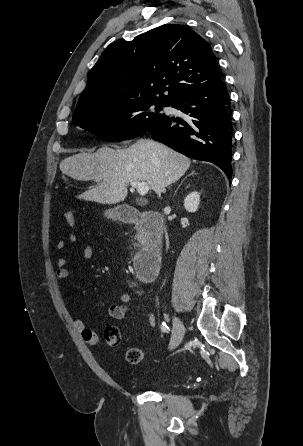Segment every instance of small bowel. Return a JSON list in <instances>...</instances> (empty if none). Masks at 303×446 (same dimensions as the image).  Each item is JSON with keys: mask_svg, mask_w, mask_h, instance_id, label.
Segmentation results:
<instances>
[{"mask_svg": "<svg viewBox=\"0 0 303 446\" xmlns=\"http://www.w3.org/2000/svg\"><path fill=\"white\" fill-rule=\"evenodd\" d=\"M78 240L77 235L74 232H70L67 235V240H61L57 243L58 250H66L70 244H75ZM93 256V247L90 244L84 246L81 254V260L87 261ZM70 262L65 258H60L57 261L56 278L59 282H65L69 277ZM118 304H113L108 309L110 317L121 320L129 313L128 303L130 301V295L122 293L118 296ZM70 314V310L67 309ZM148 324L154 326L156 319L152 314L147 317ZM73 326L80 333L82 340L91 346H97L100 343L98 335L90 328H88L85 322L80 318H73Z\"/></svg>", "mask_w": 303, "mask_h": 446, "instance_id": "small-bowel-1", "label": "small bowel"}]
</instances>
